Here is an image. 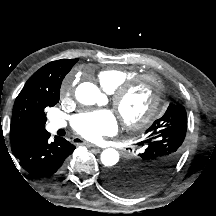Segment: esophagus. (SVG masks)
Returning a JSON list of instances; mask_svg holds the SVG:
<instances>
[{"label": "esophagus", "mask_w": 216, "mask_h": 216, "mask_svg": "<svg viewBox=\"0 0 216 216\" xmlns=\"http://www.w3.org/2000/svg\"><path fill=\"white\" fill-rule=\"evenodd\" d=\"M75 140V143H79L80 141L82 142L83 145L87 146V147H91V148H98L96 145L86 141V140H83L81 138H74Z\"/></svg>", "instance_id": "obj_1"}]
</instances>
